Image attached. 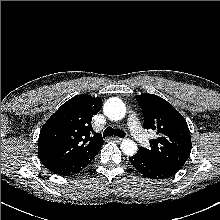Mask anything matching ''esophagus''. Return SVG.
I'll return each instance as SVG.
<instances>
[{
    "mask_svg": "<svg viewBox=\"0 0 220 220\" xmlns=\"http://www.w3.org/2000/svg\"><path fill=\"white\" fill-rule=\"evenodd\" d=\"M111 139L114 141V142H121L123 139L122 138H119V137H111Z\"/></svg>",
    "mask_w": 220,
    "mask_h": 220,
    "instance_id": "esophagus-1",
    "label": "esophagus"
}]
</instances>
